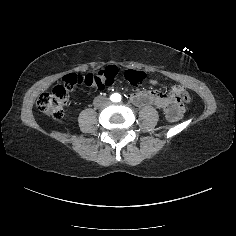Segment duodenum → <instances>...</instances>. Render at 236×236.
I'll use <instances>...</instances> for the list:
<instances>
[{
    "instance_id": "obj_1",
    "label": "duodenum",
    "mask_w": 236,
    "mask_h": 236,
    "mask_svg": "<svg viewBox=\"0 0 236 236\" xmlns=\"http://www.w3.org/2000/svg\"><path fill=\"white\" fill-rule=\"evenodd\" d=\"M131 99L139 106L156 105L171 121L179 119L182 113V105L176 97L166 98L157 93L141 92L133 95Z\"/></svg>"
}]
</instances>
